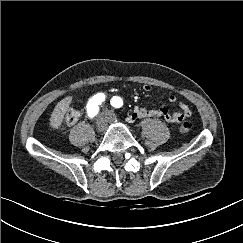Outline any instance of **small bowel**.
I'll return each mask as SVG.
<instances>
[{"instance_id":"1","label":"small bowel","mask_w":243,"mask_h":243,"mask_svg":"<svg viewBox=\"0 0 243 243\" xmlns=\"http://www.w3.org/2000/svg\"><path fill=\"white\" fill-rule=\"evenodd\" d=\"M143 90L149 92L151 86L149 84L143 85ZM168 101L170 103H176L177 97L174 94L168 96ZM180 111L175 113H170L167 108H145L136 106L130 116L132 120L143 117H163L166 121L171 123H181L185 119L189 118L191 115L190 108L187 104L181 102L179 103Z\"/></svg>"}]
</instances>
